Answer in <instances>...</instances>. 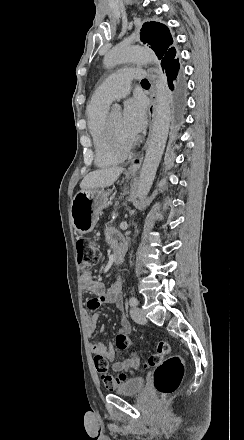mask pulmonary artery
<instances>
[{"instance_id": "e3ab8cb5", "label": "pulmonary artery", "mask_w": 244, "mask_h": 440, "mask_svg": "<svg viewBox=\"0 0 244 440\" xmlns=\"http://www.w3.org/2000/svg\"><path fill=\"white\" fill-rule=\"evenodd\" d=\"M147 75L145 69H112L108 82H101L100 90H94L92 101L110 104L127 94L129 78H145Z\"/></svg>"}]
</instances>
